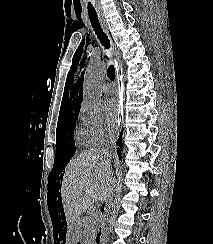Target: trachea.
Wrapping results in <instances>:
<instances>
[{"instance_id":"obj_1","label":"trachea","mask_w":213,"mask_h":244,"mask_svg":"<svg viewBox=\"0 0 213 244\" xmlns=\"http://www.w3.org/2000/svg\"><path fill=\"white\" fill-rule=\"evenodd\" d=\"M88 15L91 21V24L95 30V34L97 35L100 43L105 47V49L110 48V40L108 39V36L104 33L103 29L101 28L100 22L97 17V13L94 9V7L88 8ZM107 76L110 80L115 79V68L113 65H110L107 70Z\"/></svg>"}]
</instances>
